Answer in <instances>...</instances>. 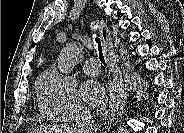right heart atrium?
I'll use <instances>...</instances> for the list:
<instances>
[{
    "label": "right heart atrium",
    "mask_w": 184,
    "mask_h": 133,
    "mask_svg": "<svg viewBox=\"0 0 184 133\" xmlns=\"http://www.w3.org/2000/svg\"><path fill=\"white\" fill-rule=\"evenodd\" d=\"M41 111L53 121H68L87 108L80 100L74 83L56 69L47 71L38 81Z\"/></svg>",
    "instance_id": "1"
}]
</instances>
